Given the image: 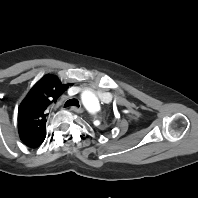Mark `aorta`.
<instances>
[{
    "label": "aorta",
    "mask_w": 198,
    "mask_h": 198,
    "mask_svg": "<svg viewBox=\"0 0 198 198\" xmlns=\"http://www.w3.org/2000/svg\"><path fill=\"white\" fill-rule=\"evenodd\" d=\"M84 106L90 111H96L99 107V100L91 91H84L81 95Z\"/></svg>",
    "instance_id": "762f6f07"
}]
</instances>
